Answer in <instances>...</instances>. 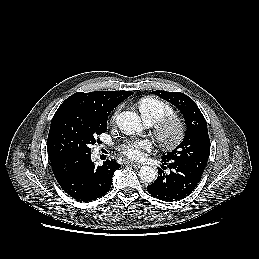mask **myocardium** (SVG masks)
Here are the masks:
<instances>
[{"mask_svg": "<svg viewBox=\"0 0 259 259\" xmlns=\"http://www.w3.org/2000/svg\"><path fill=\"white\" fill-rule=\"evenodd\" d=\"M187 126L176 114L164 116L154 124V135L165 149H174L185 139Z\"/></svg>", "mask_w": 259, "mask_h": 259, "instance_id": "f54148a6", "label": "myocardium"}]
</instances>
